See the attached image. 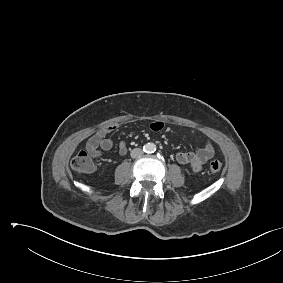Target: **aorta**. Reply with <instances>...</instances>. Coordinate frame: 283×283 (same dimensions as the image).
<instances>
[{
  "mask_svg": "<svg viewBox=\"0 0 283 283\" xmlns=\"http://www.w3.org/2000/svg\"><path fill=\"white\" fill-rule=\"evenodd\" d=\"M146 150L148 152H154L156 150V145L154 143H148L146 145Z\"/></svg>",
  "mask_w": 283,
  "mask_h": 283,
  "instance_id": "1",
  "label": "aorta"
}]
</instances>
